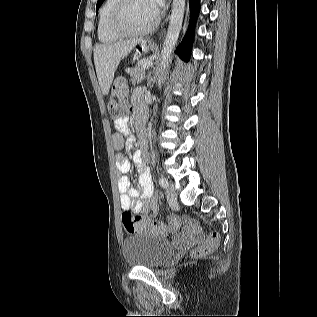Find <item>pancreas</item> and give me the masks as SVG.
Returning a JSON list of instances; mask_svg holds the SVG:
<instances>
[{"mask_svg":"<svg viewBox=\"0 0 317 317\" xmlns=\"http://www.w3.org/2000/svg\"><path fill=\"white\" fill-rule=\"evenodd\" d=\"M145 70L146 69L143 68L142 65H140V62H135V67L127 70V73L130 75L133 85L141 82L144 79Z\"/></svg>","mask_w":317,"mask_h":317,"instance_id":"obj_1","label":"pancreas"}]
</instances>
